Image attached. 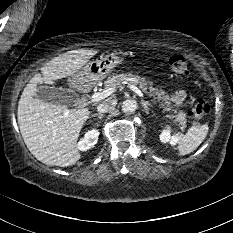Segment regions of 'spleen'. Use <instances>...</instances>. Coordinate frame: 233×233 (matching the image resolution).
<instances>
[{"label": "spleen", "instance_id": "spleen-1", "mask_svg": "<svg viewBox=\"0 0 233 233\" xmlns=\"http://www.w3.org/2000/svg\"><path fill=\"white\" fill-rule=\"evenodd\" d=\"M209 130L207 123L202 125H193L186 134L177 132L172 136L175 144H178V155L184 156L193 152L206 138ZM172 128L166 125L163 132L171 133Z\"/></svg>", "mask_w": 233, "mask_h": 233}]
</instances>
